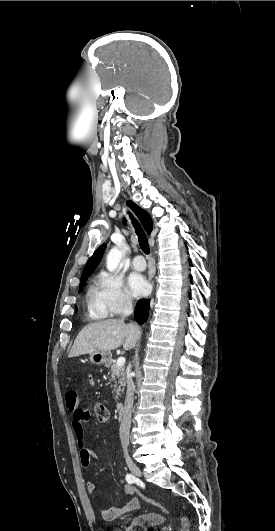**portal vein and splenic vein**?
<instances>
[{
    "label": "portal vein and splenic vein",
    "instance_id": "portal-vein-and-splenic-vein-1",
    "mask_svg": "<svg viewBox=\"0 0 275 531\" xmlns=\"http://www.w3.org/2000/svg\"><path fill=\"white\" fill-rule=\"evenodd\" d=\"M125 361V357H119V359H117L116 365H118V367H123V365H125Z\"/></svg>",
    "mask_w": 275,
    "mask_h": 531
}]
</instances>
